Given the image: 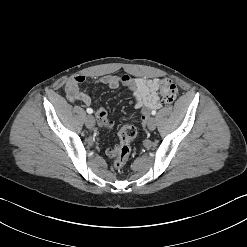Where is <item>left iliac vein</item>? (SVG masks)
Wrapping results in <instances>:
<instances>
[{
    "mask_svg": "<svg viewBox=\"0 0 247 247\" xmlns=\"http://www.w3.org/2000/svg\"><path fill=\"white\" fill-rule=\"evenodd\" d=\"M147 127L149 130H154L156 128V120L154 117H150L147 123Z\"/></svg>",
    "mask_w": 247,
    "mask_h": 247,
    "instance_id": "obj_1",
    "label": "left iliac vein"
}]
</instances>
